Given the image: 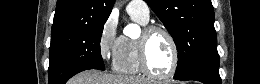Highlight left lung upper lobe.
<instances>
[{"instance_id":"obj_1","label":"left lung upper lobe","mask_w":260,"mask_h":84,"mask_svg":"<svg viewBox=\"0 0 260 84\" xmlns=\"http://www.w3.org/2000/svg\"><path fill=\"white\" fill-rule=\"evenodd\" d=\"M173 37L178 50L174 78L219 63L211 0H145Z\"/></svg>"}]
</instances>
